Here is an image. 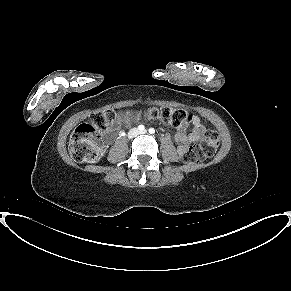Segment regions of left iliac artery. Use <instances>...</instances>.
<instances>
[{
	"label": "left iliac artery",
	"mask_w": 291,
	"mask_h": 291,
	"mask_svg": "<svg viewBox=\"0 0 291 291\" xmlns=\"http://www.w3.org/2000/svg\"><path fill=\"white\" fill-rule=\"evenodd\" d=\"M149 133H150V134H154V133H155V129H154V128H150V129H149Z\"/></svg>",
	"instance_id": "left-iliac-artery-1"
}]
</instances>
